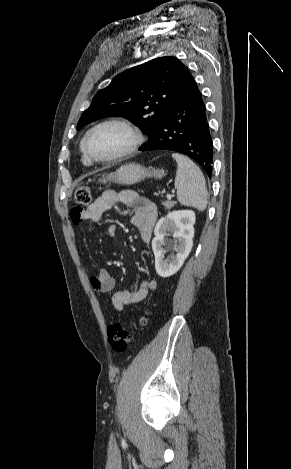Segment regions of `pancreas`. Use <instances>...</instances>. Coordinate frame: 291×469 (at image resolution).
Here are the masks:
<instances>
[{"mask_svg": "<svg viewBox=\"0 0 291 469\" xmlns=\"http://www.w3.org/2000/svg\"><path fill=\"white\" fill-rule=\"evenodd\" d=\"M175 204H176L175 201H165V202H163V205L168 210L171 209Z\"/></svg>", "mask_w": 291, "mask_h": 469, "instance_id": "pancreas-1", "label": "pancreas"}]
</instances>
